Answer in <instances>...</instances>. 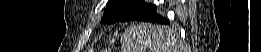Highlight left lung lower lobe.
Returning a JSON list of instances; mask_svg holds the SVG:
<instances>
[{"instance_id":"left-lung-lower-lobe-1","label":"left lung lower lobe","mask_w":261,"mask_h":52,"mask_svg":"<svg viewBox=\"0 0 261 52\" xmlns=\"http://www.w3.org/2000/svg\"><path fill=\"white\" fill-rule=\"evenodd\" d=\"M156 7L153 5L149 10H147L142 16H140L137 20H142L145 22L159 23L169 25V20L158 15L155 11Z\"/></svg>"}]
</instances>
